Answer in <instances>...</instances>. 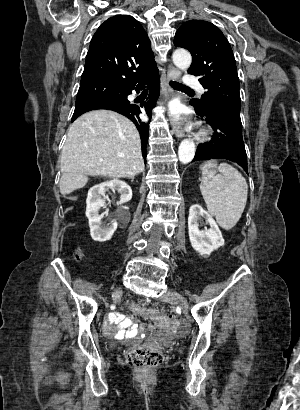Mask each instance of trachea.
<instances>
[{"label": "trachea", "mask_w": 300, "mask_h": 410, "mask_svg": "<svg viewBox=\"0 0 300 410\" xmlns=\"http://www.w3.org/2000/svg\"><path fill=\"white\" fill-rule=\"evenodd\" d=\"M170 86L173 87L174 89L181 90V91H193L191 88L186 87L185 85L176 82V81H170Z\"/></svg>", "instance_id": "1"}]
</instances>
